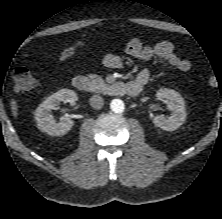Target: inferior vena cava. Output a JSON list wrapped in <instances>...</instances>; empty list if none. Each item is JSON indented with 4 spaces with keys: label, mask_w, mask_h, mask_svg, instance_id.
<instances>
[{
    "label": "inferior vena cava",
    "mask_w": 222,
    "mask_h": 219,
    "mask_svg": "<svg viewBox=\"0 0 222 219\" xmlns=\"http://www.w3.org/2000/svg\"><path fill=\"white\" fill-rule=\"evenodd\" d=\"M90 105L94 108V109H100L103 107L104 105V100L100 95H93L90 98Z\"/></svg>",
    "instance_id": "inferior-vena-cava-1"
}]
</instances>
